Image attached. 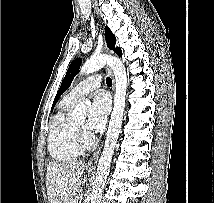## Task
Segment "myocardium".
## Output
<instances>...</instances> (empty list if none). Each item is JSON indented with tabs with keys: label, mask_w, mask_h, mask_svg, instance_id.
I'll return each instance as SVG.
<instances>
[{
	"label": "myocardium",
	"mask_w": 214,
	"mask_h": 203,
	"mask_svg": "<svg viewBox=\"0 0 214 203\" xmlns=\"http://www.w3.org/2000/svg\"><path fill=\"white\" fill-rule=\"evenodd\" d=\"M75 142L80 151L90 150L96 144L94 137L84 127L78 125H76Z\"/></svg>",
	"instance_id": "1"
}]
</instances>
